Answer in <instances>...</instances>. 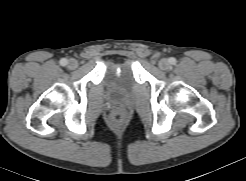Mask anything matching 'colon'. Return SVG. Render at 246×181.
Returning a JSON list of instances; mask_svg holds the SVG:
<instances>
[{"label": "colon", "instance_id": "5ec220e1", "mask_svg": "<svg viewBox=\"0 0 246 181\" xmlns=\"http://www.w3.org/2000/svg\"><path fill=\"white\" fill-rule=\"evenodd\" d=\"M125 121L124 115L121 113H115L111 118V123L115 127H120Z\"/></svg>", "mask_w": 246, "mask_h": 181}]
</instances>
